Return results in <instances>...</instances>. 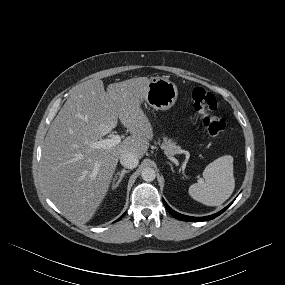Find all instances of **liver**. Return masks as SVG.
I'll return each mask as SVG.
<instances>
[{"label": "liver", "instance_id": "liver-1", "mask_svg": "<svg viewBox=\"0 0 285 285\" xmlns=\"http://www.w3.org/2000/svg\"><path fill=\"white\" fill-rule=\"evenodd\" d=\"M147 77L108 85L90 79L75 86L53 120L41 157L46 193L63 215L86 223L105 198L118 160L126 152L142 158L153 129L140 104ZM118 119L130 132L121 143L94 149L91 143L109 134Z\"/></svg>", "mask_w": 285, "mask_h": 285}]
</instances>
